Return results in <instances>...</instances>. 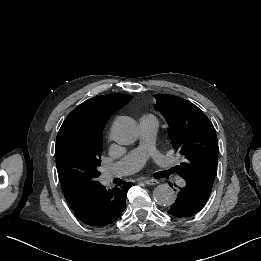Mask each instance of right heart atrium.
Returning a JSON list of instances; mask_svg holds the SVG:
<instances>
[{"label": "right heart atrium", "instance_id": "obj_1", "mask_svg": "<svg viewBox=\"0 0 261 261\" xmlns=\"http://www.w3.org/2000/svg\"><path fill=\"white\" fill-rule=\"evenodd\" d=\"M109 139H110V140L112 139V134H111V133L109 134Z\"/></svg>", "mask_w": 261, "mask_h": 261}]
</instances>
